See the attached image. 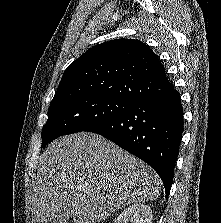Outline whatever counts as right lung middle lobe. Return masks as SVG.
<instances>
[{"instance_id":"dd1d6c3e","label":"right lung middle lobe","mask_w":221,"mask_h":223,"mask_svg":"<svg viewBox=\"0 0 221 223\" xmlns=\"http://www.w3.org/2000/svg\"><path fill=\"white\" fill-rule=\"evenodd\" d=\"M132 104L129 101L95 95L52 103L48 109V120L41 133V147L62 135L86 131L124 112Z\"/></svg>"}]
</instances>
